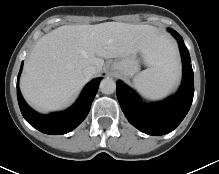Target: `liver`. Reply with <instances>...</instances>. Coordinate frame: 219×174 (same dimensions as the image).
Listing matches in <instances>:
<instances>
[{
    "instance_id": "obj_1",
    "label": "liver",
    "mask_w": 219,
    "mask_h": 174,
    "mask_svg": "<svg viewBox=\"0 0 219 174\" xmlns=\"http://www.w3.org/2000/svg\"><path fill=\"white\" fill-rule=\"evenodd\" d=\"M141 52L147 65L161 61L166 52L176 64L175 51L154 27L121 22L65 25L41 37L24 63L20 89L40 112L66 106L88 79L83 70L102 71L104 59Z\"/></svg>"
}]
</instances>
